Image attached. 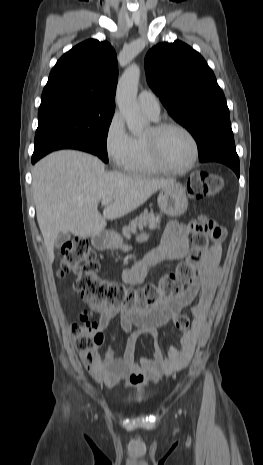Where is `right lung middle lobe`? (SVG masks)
Wrapping results in <instances>:
<instances>
[{
  "label": "right lung middle lobe",
  "mask_w": 263,
  "mask_h": 465,
  "mask_svg": "<svg viewBox=\"0 0 263 465\" xmlns=\"http://www.w3.org/2000/svg\"><path fill=\"white\" fill-rule=\"evenodd\" d=\"M115 107L81 100L57 99L41 103L34 153L63 141L80 142L108 162L106 140Z\"/></svg>",
  "instance_id": "obj_1"
}]
</instances>
